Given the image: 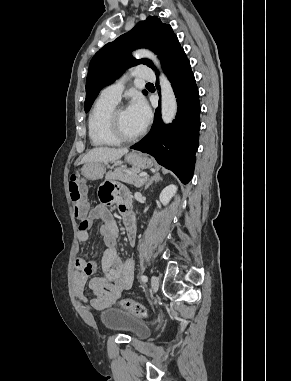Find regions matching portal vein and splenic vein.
Listing matches in <instances>:
<instances>
[{"label":"portal vein and splenic vein","mask_w":291,"mask_h":381,"mask_svg":"<svg viewBox=\"0 0 291 381\" xmlns=\"http://www.w3.org/2000/svg\"><path fill=\"white\" fill-rule=\"evenodd\" d=\"M140 177H144V178H147L148 177V174L145 173V172H142L139 174Z\"/></svg>","instance_id":"obj_1"}]
</instances>
